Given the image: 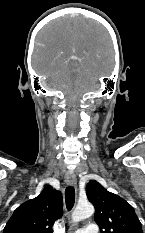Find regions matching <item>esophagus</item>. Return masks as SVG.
Returning <instances> with one entry per match:
<instances>
[{
    "label": "esophagus",
    "instance_id": "esophagus-1",
    "mask_svg": "<svg viewBox=\"0 0 145 233\" xmlns=\"http://www.w3.org/2000/svg\"><path fill=\"white\" fill-rule=\"evenodd\" d=\"M65 181H66L67 185H69L71 187L76 186L77 180H76L75 174L72 172H67L66 176H65Z\"/></svg>",
    "mask_w": 145,
    "mask_h": 233
}]
</instances>
